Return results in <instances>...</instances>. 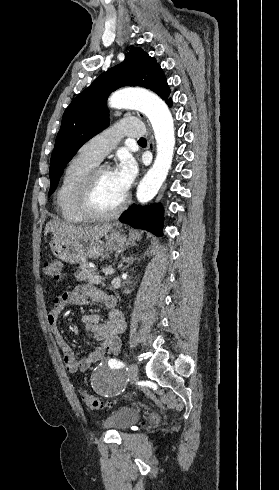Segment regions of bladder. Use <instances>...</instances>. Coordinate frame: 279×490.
<instances>
[{"instance_id":"bladder-1","label":"bladder","mask_w":279,"mask_h":490,"mask_svg":"<svg viewBox=\"0 0 279 490\" xmlns=\"http://www.w3.org/2000/svg\"><path fill=\"white\" fill-rule=\"evenodd\" d=\"M140 417L138 409L133 407H122L114 412L109 418L102 422L104 428H110L113 431H124L134 425Z\"/></svg>"}]
</instances>
